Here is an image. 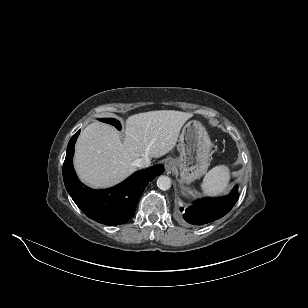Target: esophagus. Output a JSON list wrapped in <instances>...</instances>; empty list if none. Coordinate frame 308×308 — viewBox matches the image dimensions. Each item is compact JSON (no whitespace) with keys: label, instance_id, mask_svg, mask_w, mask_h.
<instances>
[{"label":"esophagus","instance_id":"obj_1","mask_svg":"<svg viewBox=\"0 0 308 308\" xmlns=\"http://www.w3.org/2000/svg\"><path fill=\"white\" fill-rule=\"evenodd\" d=\"M175 168V162L172 159H169L165 162V170L168 174L172 173Z\"/></svg>","mask_w":308,"mask_h":308}]
</instances>
